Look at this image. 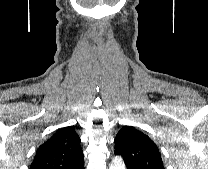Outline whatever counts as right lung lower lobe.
<instances>
[{"label": "right lung lower lobe", "mask_w": 208, "mask_h": 169, "mask_svg": "<svg viewBox=\"0 0 208 169\" xmlns=\"http://www.w3.org/2000/svg\"><path fill=\"white\" fill-rule=\"evenodd\" d=\"M75 169H84V163L79 165V166H77Z\"/></svg>", "instance_id": "right-lung-lower-lobe-1"}]
</instances>
